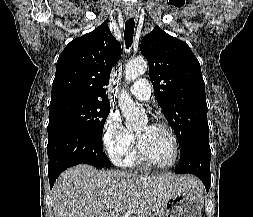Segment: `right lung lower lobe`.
Wrapping results in <instances>:
<instances>
[{"label":"right lung lower lobe","instance_id":"1","mask_svg":"<svg viewBox=\"0 0 253 217\" xmlns=\"http://www.w3.org/2000/svg\"><path fill=\"white\" fill-rule=\"evenodd\" d=\"M47 153L50 188L65 169L86 163L94 166H110L103 152L102 142L77 131H61L49 136Z\"/></svg>","mask_w":253,"mask_h":217}]
</instances>
